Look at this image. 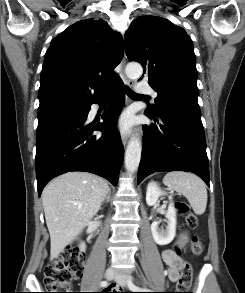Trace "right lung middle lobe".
Masks as SVG:
<instances>
[{"mask_svg":"<svg viewBox=\"0 0 245 293\" xmlns=\"http://www.w3.org/2000/svg\"><path fill=\"white\" fill-rule=\"evenodd\" d=\"M84 109L85 105L75 104H60L38 108L37 131L42 130L59 119L80 114Z\"/></svg>","mask_w":245,"mask_h":293,"instance_id":"dd1d6c3e","label":"right lung middle lobe"}]
</instances>
